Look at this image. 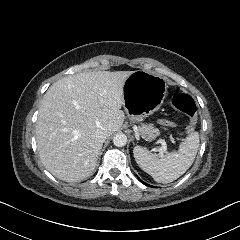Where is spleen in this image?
<instances>
[{
	"mask_svg": "<svg viewBox=\"0 0 240 240\" xmlns=\"http://www.w3.org/2000/svg\"><path fill=\"white\" fill-rule=\"evenodd\" d=\"M199 148V133H190L180 144L177 152L163 156L136 146L133 155L138 166L158 183H170L183 175L193 164Z\"/></svg>",
	"mask_w": 240,
	"mask_h": 240,
	"instance_id": "3e777b00",
	"label": "spleen"
}]
</instances>
